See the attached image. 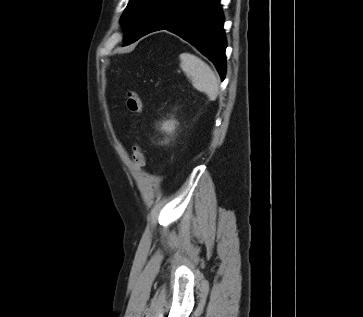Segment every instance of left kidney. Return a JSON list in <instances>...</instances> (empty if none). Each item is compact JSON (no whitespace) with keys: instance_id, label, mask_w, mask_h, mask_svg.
<instances>
[{"instance_id":"5707ae66","label":"left kidney","mask_w":363,"mask_h":317,"mask_svg":"<svg viewBox=\"0 0 363 317\" xmlns=\"http://www.w3.org/2000/svg\"><path fill=\"white\" fill-rule=\"evenodd\" d=\"M163 129L166 130L167 132H171L174 129V124L173 122H166L163 125Z\"/></svg>"}]
</instances>
